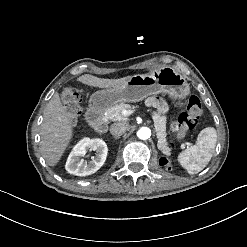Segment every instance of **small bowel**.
<instances>
[{
  "mask_svg": "<svg viewBox=\"0 0 247 247\" xmlns=\"http://www.w3.org/2000/svg\"><path fill=\"white\" fill-rule=\"evenodd\" d=\"M146 104L147 106L156 109L161 114H164L167 111V103L161 97H150L146 100Z\"/></svg>",
  "mask_w": 247,
  "mask_h": 247,
  "instance_id": "c3829d8e",
  "label": "small bowel"
}]
</instances>
